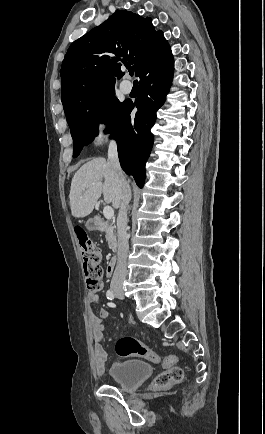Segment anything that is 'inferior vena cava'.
<instances>
[{
    "mask_svg": "<svg viewBox=\"0 0 265 434\" xmlns=\"http://www.w3.org/2000/svg\"><path fill=\"white\" fill-rule=\"evenodd\" d=\"M108 162L112 168H115L118 172V176L121 182L122 188V202L120 204L119 216H118V260L115 272L112 278V284H118V282H124L127 276V256L129 250V236L127 234V208L131 200V188L127 184L120 168L117 152L116 142H110L108 150Z\"/></svg>",
    "mask_w": 265,
    "mask_h": 434,
    "instance_id": "inferior-vena-cava-1",
    "label": "inferior vena cava"
}]
</instances>
